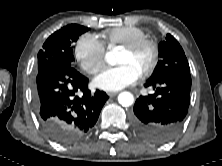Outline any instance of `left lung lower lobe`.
I'll return each mask as SVG.
<instances>
[{"label": "left lung lower lobe", "mask_w": 222, "mask_h": 166, "mask_svg": "<svg viewBox=\"0 0 222 166\" xmlns=\"http://www.w3.org/2000/svg\"><path fill=\"white\" fill-rule=\"evenodd\" d=\"M145 87H152L155 92L136 100L132 127L148 142H170L180 132L188 113L191 75L182 72L149 79Z\"/></svg>", "instance_id": "obj_1"}]
</instances>
